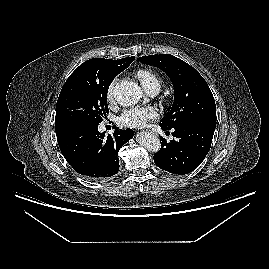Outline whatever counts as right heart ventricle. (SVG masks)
I'll list each match as a JSON object with an SVG mask.
<instances>
[{
  "mask_svg": "<svg viewBox=\"0 0 269 269\" xmlns=\"http://www.w3.org/2000/svg\"><path fill=\"white\" fill-rule=\"evenodd\" d=\"M136 75L145 90L161 86L160 77L151 69H140Z\"/></svg>",
  "mask_w": 269,
  "mask_h": 269,
  "instance_id": "1",
  "label": "right heart ventricle"
}]
</instances>
